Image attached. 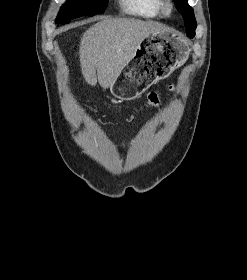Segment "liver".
Here are the masks:
<instances>
[{
    "label": "liver",
    "mask_w": 247,
    "mask_h": 280,
    "mask_svg": "<svg viewBox=\"0 0 247 280\" xmlns=\"http://www.w3.org/2000/svg\"><path fill=\"white\" fill-rule=\"evenodd\" d=\"M168 31L152 21L131 18L104 19L85 31L79 56L85 81L109 88L123 67L134 57L140 43L149 35Z\"/></svg>",
    "instance_id": "1"
}]
</instances>
